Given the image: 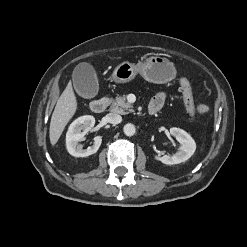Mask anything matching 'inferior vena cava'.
I'll return each mask as SVG.
<instances>
[{
  "instance_id": "inferior-vena-cava-1",
  "label": "inferior vena cava",
  "mask_w": 247,
  "mask_h": 247,
  "mask_svg": "<svg viewBox=\"0 0 247 247\" xmlns=\"http://www.w3.org/2000/svg\"><path fill=\"white\" fill-rule=\"evenodd\" d=\"M106 120L107 122L115 125L121 123L122 117L116 113H109L106 115Z\"/></svg>"
}]
</instances>
